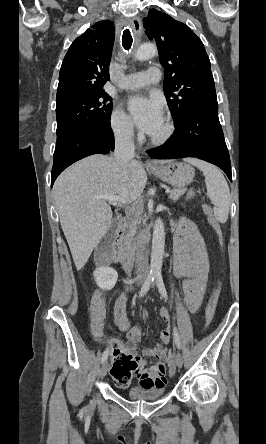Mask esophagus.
<instances>
[{
    "instance_id": "1",
    "label": "esophagus",
    "mask_w": 266,
    "mask_h": 444,
    "mask_svg": "<svg viewBox=\"0 0 266 444\" xmlns=\"http://www.w3.org/2000/svg\"><path fill=\"white\" fill-rule=\"evenodd\" d=\"M130 26L132 27V29L136 35H139L141 33V21L138 17H133L130 20ZM145 165L147 167H155V166H157V163L152 160H147L145 162Z\"/></svg>"
}]
</instances>
